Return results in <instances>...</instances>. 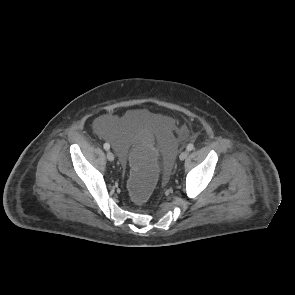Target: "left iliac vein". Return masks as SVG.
<instances>
[{"label": "left iliac vein", "mask_w": 295, "mask_h": 295, "mask_svg": "<svg viewBox=\"0 0 295 295\" xmlns=\"http://www.w3.org/2000/svg\"><path fill=\"white\" fill-rule=\"evenodd\" d=\"M187 156H188V151H183V152H181L179 158H180V160H184L187 158Z\"/></svg>", "instance_id": "left-iliac-vein-1"}]
</instances>
